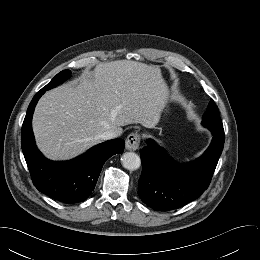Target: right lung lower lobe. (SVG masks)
Here are the masks:
<instances>
[{
    "label": "right lung lower lobe",
    "mask_w": 260,
    "mask_h": 260,
    "mask_svg": "<svg viewBox=\"0 0 260 260\" xmlns=\"http://www.w3.org/2000/svg\"><path fill=\"white\" fill-rule=\"evenodd\" d=\"M45 91L42 88L37 92L27 109L21 132L23 154L39 191L66 204L82 202L94 190L104 162L122 153L125 142L123 139L106 141L71 161L46 159L36 147L31 124L34 108Z\"/></svg>",
    "instance_id": "right-lung-lower-lobe-1"
}]
</instances>
